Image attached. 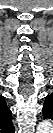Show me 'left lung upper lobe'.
Instances as JSON below:
<instances>
[{
	"label": "left lung upper lobe",
	"instance_id": "left-lung-upper-lobe-1",
	"mask_svg": "<svg viewBox=\"0 0 53 133\" xmlns=\"http://www.w3.org/2000/svg\"><path fill=\"white\" fill-rule=\"evenodd\" d=\"M42 113H43L44 119L52 118V116H53V97H51V96L46 97Z\"/></svg>",
	"mask_w": 53,
	"mask_h": 133
}]
</instances>
